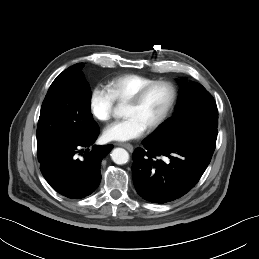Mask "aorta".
Instances as JSON below:
<instances>
[{
  "label": "aorta",
  "instance_id": "762f6f07",
  "mask_svg": "<svg viewBox=\"0 0 259 259\" xmlns=\"http://www.w3.org/2000/svg\"><path fill=\"white\" fill-rule=\"evenodd\" d=\"M115 114L120 115V111L116 109ZM111 158L114 163L123 165L129 161V153L123 148H116L112 151Z\"/></svg>",
  "mask_w": 259,
  "mask_h": 259
}]
</instances>
